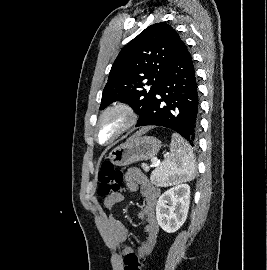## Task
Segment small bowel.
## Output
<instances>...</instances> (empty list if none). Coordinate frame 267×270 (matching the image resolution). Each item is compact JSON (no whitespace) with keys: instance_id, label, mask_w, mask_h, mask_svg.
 <instances>
[{"instance_id":"c3829d8e","label":"small bowel","mask_w":267,"mask_h":270,"mask_svg":"<svg viewBox=\"0 0 267 270\" xmlns=\"http://www.w3.org/2000/svg\"><path fill=\"white\" fill-rule=\"evenodd\" d=\"M124 182L132 191L140 190L145 204L139 211L138 216L145 221L146 225L143 229L144 239L138 249V256L144 258L154 248L159 232V225L156 219V205L160 195V190L155 187L138 168H129L124 176ZM124 196L120 192H116L104 199V206L108 210H113L116 205L123 202ZM109 226L113 238L117 243H125L128 239V229L121 220L114 215L109 216ZM132 248L126 245L123 255L131 252Z\"/></svg>"}]
</instances>
